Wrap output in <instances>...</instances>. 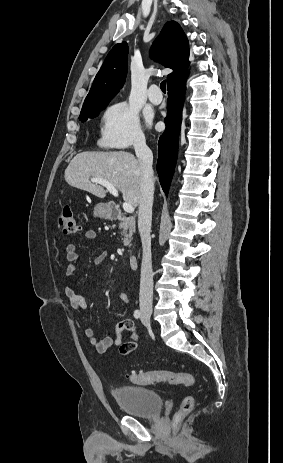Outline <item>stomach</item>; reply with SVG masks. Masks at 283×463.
<instances>
[{"mask_svg": "<svg viewBox=\"0 0 283 463\" xmlns=\"http://www.w3.org/2000/svg\"><path fill=\"white\" fill-rule=\"evenodd\" d=\"M112 207L108 203H98L94 207V215L102 219H108L112 216Z\"/></svg>", "mask_w": 283, "mask_h": 463, "instance_id": "0dacf381", "label": "stomach"}]
</instances>
